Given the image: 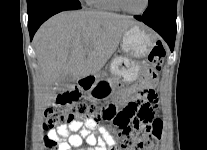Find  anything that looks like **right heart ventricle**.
I'll use <instances>...</instances> for the list:
<instances>
[{
  "instance_id": "e07e8e85",
  "label": "right heart ventricle",
  "mask_w": 207,
  "mask_h": 150,
  "mask_svg": "<svg viewBox=\"0 0 207 150\" xmlns=\"http://www.w3.org/2000/svg\"><path fill=\"white\" fill-rule=\"evenodd\" d=\"M90 6L95 9L109 11V12H118L120 8L116 5L114 0H88Z\"/></svg>"
}]
</instances>
